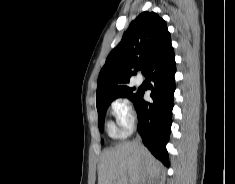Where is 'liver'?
Segmentation results:
<instances>
[{"label":"liver","mask_w":235,"mask_h":184,"mask_svg":"<svg viewBox=\"0 0 235 184\" xmlns=\"http://www.w3.org/2000/svg\"><path fill=\"white\" fill-rule=\"evenodd\" d=\"M161 164L144 146L122 142L105 150L99 164L98 184H127L139 182L141 176L158 178Z\"/></svg>","instance_id":"6515ba94"}]
</instances>
